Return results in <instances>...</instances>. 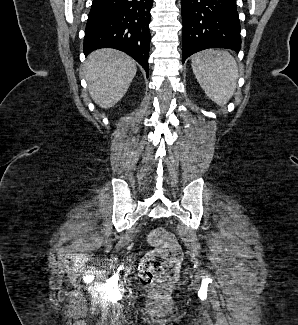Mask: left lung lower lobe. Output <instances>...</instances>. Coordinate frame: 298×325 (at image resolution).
Masks as SVG:
<instances>
[{
	"label": "left lung lower lobe",
	"instance_id": "left-lung-lower-lobe-1",
	"mask_svg": "<svg viewBox=\"0 0 298 325\" xmlns=\"http://www.w3.org/2000/svg\"><path fill=\"white\" fill-rule=\"evenodd\" d=\"M183 63L207 48L239 52L240 22L236 0H182Z\"/></svg>",
	"mask_w": 298,
	"mask_h": 325
}]
</instances>
